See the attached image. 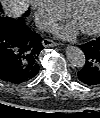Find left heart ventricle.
<instances>
[{"label": "left heart ventricle", "instance_id": "b2bd125f", "mask_svg": "<svg viewBox=\"0 0 100 118\" xmlns=\"http://www.w3.org/2000/svg\"><path fill=\"white\" fill-rule=\"evenodd\" d=\"M99 8L100 0H87L82 7L73 13L70 21L80 31L89 30L96 24Z\"/></svg>", "mask_w": 100, "mask_h": 118}]
</instances>
